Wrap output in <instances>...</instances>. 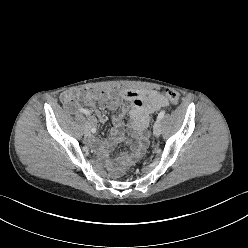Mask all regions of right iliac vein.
Masks as SVG:
<instances>
[{
  "label": "right iliac vein",
  "instance_id": "63e3f726",
  "mask_svg": "<svg viewBox=\"0 0 248 248\" xmlns=\"http://www.w3.org/2000/svg\"><path fill=\"white\" fill-rule=\"evenodd\" d=\"M84 133L86 136H88L90 134V128L88 125L85 126Z\"/></svg>",
  "mask_w": 248,
  "mask_h": 248
}]
</instances>
